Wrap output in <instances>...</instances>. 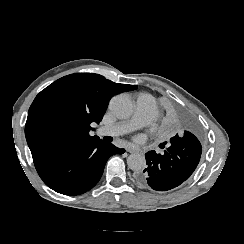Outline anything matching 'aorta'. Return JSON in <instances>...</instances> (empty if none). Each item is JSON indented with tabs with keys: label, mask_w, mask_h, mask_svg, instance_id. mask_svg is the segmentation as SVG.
Wrapping results in <instances>:
<instances>
[{
	"label": "aorta",
	"mask_w": 244,
	"mask_h": 244,
	"mask_svg": "<svg viewBox=\"0 0 244 244\" xmlns=\"http://www.w3.org/2000/svg\"><path fill=\"white\" fill-rule=\"evenodd\" d=\"M109 110L118 119H126L133 113V104L127 96L119 94L110 100ZM127 165L131 170L142 171L146 167L145 157L137 153L131 154L127 158Z\"/></svg>",
	"instance_id": "obj_1"
}]
</instances>
